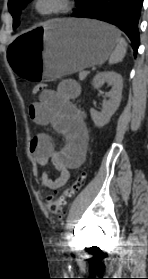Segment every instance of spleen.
<instances>
[{
  "instance_id": "3e777b00",
  "label": "spleen",
  "mask_w": 148,
  "mask_h": 279,
  "mask_svg": "<svg viewBox=\"0 0 148 279\" xmlns=\"http://www.w3.org/2000/svg\"><path fill=\"white\" fill-rule=\"evenodd\" d=\"M127 51V42L124 38L118 36L117 45L109 58L110 64H115L123 60Z\"/></svg>"
}]
</instances>
